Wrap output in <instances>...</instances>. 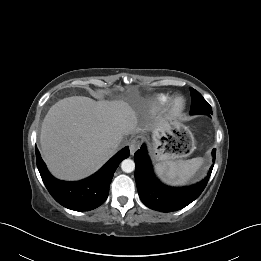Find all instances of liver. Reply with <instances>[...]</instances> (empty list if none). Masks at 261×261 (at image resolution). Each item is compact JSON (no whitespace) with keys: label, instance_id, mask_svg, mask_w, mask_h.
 I'll list each match as a JSON object with an SVG mask.
<instances>
[{"label":"liver","instance_id":"obj_1","mask_svg":"<svg viewBox=\"0 0 261 261\" xmlns=\"http://www.w3.org/2000/svg\"><path fill=\"white\" fill-rule=\"evenodd\" d=\"M144 119L133 102L64 98L49 109L43 120V159L59 179L85 178L113 156L123 136L147 129Z\"/></svg>","mask_w":261,"mask_h":261}]
</instances>
